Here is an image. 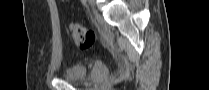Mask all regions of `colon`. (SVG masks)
I'll return each mask as SVG.
<instances>
[{"label":"colon","instance_id":"obj_1","mask_svg":"<svg viewBox=\"0 0 209 90\" xmlns=\"http://www.w3.org/2000/svg\"><path fill=\"white\" fill-rule=\"evenodd\" d=\"M72 42L80 49H90L95 43V33L93 30L78 24L70 27Z\"/></svg>","mask_w":209,"mask_h":90}]
</instances>
